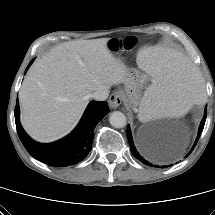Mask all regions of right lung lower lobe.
Here are the masks:
<instances>
[{"mask_svg": "<svg viewBox=\"0 0 215 215\" xmlns=\"http://www.w3.org/2000/svg\"><path fill=\"white\" fill-rule=\"evenodd\" d=\"M108 112L107 102L92 101L76 129L67 137L51 144L37 143L25 133L19 122L18 103L15 107V123L21 142L35 159L49 166L66 167L77 164L87 156L92 147L93 130Z\"/></svg>", "mask_w": 215, "mask_h": 215, "instance_id": "98d812e1", "label": "right lung lower lobe"}]
</instances>
